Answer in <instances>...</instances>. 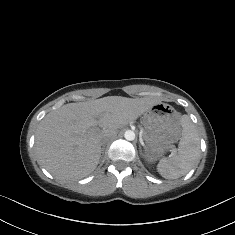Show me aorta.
<instances>
[{"label": "aorta", "instance_id": "1", "mask_svg": "<svg viewBox=\"0 0 235 235\" xmlns=\"http://www.w3.org/2000/svg\"><path fill=\"white\" fill-rule=\"evenodd\" d=\"M124 137L128 141H133L135 139V133L132 130H127L124 133Z\"/></svg>", "mask_w": 235, "mask_h": 235}]
</instances>
